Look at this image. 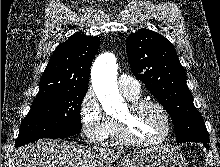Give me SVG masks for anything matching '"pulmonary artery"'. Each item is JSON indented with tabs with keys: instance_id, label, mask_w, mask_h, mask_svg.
<instances>
[{
	"instance_id": "pulmonary-artery-1",
	"label": "pulmonary artery",
	"mask_w": 220,
	"mask_h": 167,
	"mask_svg": "<svg viewBox=\"0 0 220 167\" xmlns=\"http://www.w3.org/2000/svg\"><path fill=\"white\" fill-rule=\"evenodd\" d=\"M118 86L120 91L126 96H138L141 92L139 82L127 74H120Z\"/></svg>"
}]
</instances>
